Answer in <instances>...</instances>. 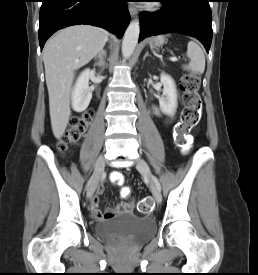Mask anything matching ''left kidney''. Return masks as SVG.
<instances>
[{
    "label": "left kidney",
    "mask_w": 258,
    "mask_h": 275,
    "mask_svg": "<svg viewBox=\"0 0 258 275\" xmlns=\"http://www.w3.org/2000/svg\"><path fill=\"white\" fill-rule=\"evenodd\" d=\"M160 81L163 84V94L159 98L161 111L166 115H173L177 108V92L175 82L169 75L161 73Z\"/></svg>",
    "instance_id": "5707ae66"
}]
</instances>
